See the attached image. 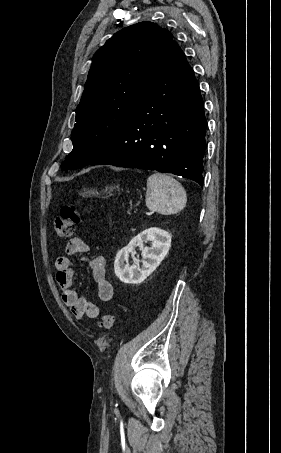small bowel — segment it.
Masks as SVG:
<instances>
[{"label":"small bowel","mask_w":281,"mask_h":453,"mask_svg":"<svg viewBox=\"0 0 281 453\" xmlns=\"http://www.w3.org/2000/svg\"><path fill=\"white\" fill-rule=\"evenodd\" d=\"M74 254H81L86 257L92 279L97 286L99 298L103 301H109L112 299L113 291L107 277L105 259L100 254H90L88 244L81 238H71L64 254L59 255L55 261L56 279L62 290L64 304L71 309L76 318L87 316L91 319H96L100 314L99 307L80 298L72 290L73 269L71 267V256Z\"/></svg>","instance_id":"1"}]
</instances>
